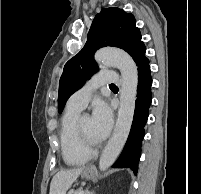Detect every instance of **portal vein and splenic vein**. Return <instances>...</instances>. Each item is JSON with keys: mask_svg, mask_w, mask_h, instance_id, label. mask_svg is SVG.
Listing matches in <instances>:
<instances>
[{"mask_svg": "<svg viewBox=\"0 0 201 194\" xmlns=\"http://www.w3.org/2000/svg\"><path fill=\"white\" fill-rule=\"evenodd\" d=\"M80 194H84V191H83V190H81V191H80Z\"/></svg>", "mask_w": 201, "mask_h": 194, "instance_id": "18ae733b", "label": "portal vein and splenic vein"}]
</instances>
